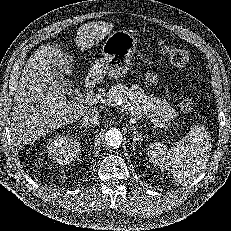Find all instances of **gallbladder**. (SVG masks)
Listing matches in <instances>:
<instances>
[{"mask_svg":"<svg viewBox=\"0 0 231 231\" xmlns=\"http://www.w3.org/2000/svg\"><path fill=\"white\" fill-rule=\"evenodd\" d=\"M50 73L54 79V82L63 92L67 94L73 93L74 89L71 82L59 70L53 67L51 68Z\"/></svg>","mask_w":231,"mask_h":231,"instance_id":"obj_1","label":"gallbladder"}]
</instances>
